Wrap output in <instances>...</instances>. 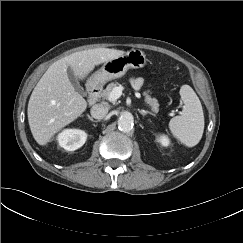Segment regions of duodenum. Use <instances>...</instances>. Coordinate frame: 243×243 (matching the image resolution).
Returning a JSON list of instances; mask_svg holds the SVG:
<instances>
[{"mask_svg": "<svg viewBox=\"0 0 243 243\" xmlns=\"http://www.w3.org/2000/svg\"><path fill=\"white\" fill-rule=\"evenodd\" d=\"M100 93V88L96 84H90L87 89L88 102L93 104Z\"/></svg>", "mask_w": 243, "mask_h": 243, "instance_id": "obj_1", "label": "duodenum"}]
</instances>
